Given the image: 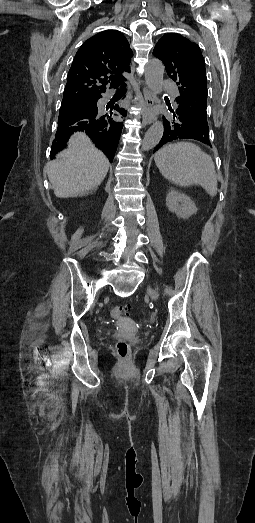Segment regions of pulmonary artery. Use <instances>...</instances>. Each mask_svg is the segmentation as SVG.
<instances>
[{
    "instance_id": "pulmonary-artery-1",
    "label": "pulmonary artery",
    "mask_w": 255,
    "mask_h": 523,
    "mask_svg": "<svg viewBox=\"0 0 255 523\" xmlns=\"http://www.w3.org/2000/svg\"><path fill=\"white\" fill-rule=\"evenodd\" d=\"M163 85L170 100V106L172 108H177L179 106V95L175 79L172 77L165 78L163 80Z\"/></svg>"
}]
</instances>
